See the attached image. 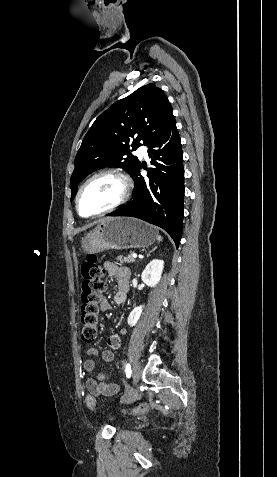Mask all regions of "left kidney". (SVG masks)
<instances>
[{"label":"left kidney","instance_id":"5707ae66","mask_svg":"<svg viewBox=\"0 0 277 477\" xmlns=\"http://www.w3.org/2000/svg\"><path fill=\"white\" fill-rule=\"evenodd\" d=\"M164 268V261L154 259L152 260L146 268L143 270L141 278L142 281L149 287H155L161 279V274ZM143 311V306L140 305L135 307L129 317H128V324L130 326H135L138 322L141 314Z\"/></svg>","mask_w":277,"mask_h":477}]
</instances>
